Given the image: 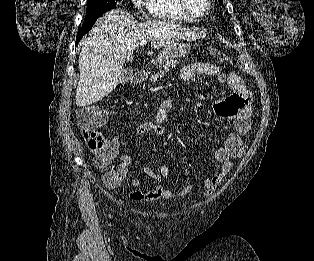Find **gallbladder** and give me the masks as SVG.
<instances>
[{"label":"gallbladder","mask_w":314,"mask_h":261,"mask_svg":"<svg viewBox=\"0 0 314 261\" xmlns=\"http://www.w3.org/2000/svg\"><path fill=\"white\" fill-rule=\"evenodd\" d=\"M133 75V71L130 68H126L122 71V76L120 82L122 84L127 83Z\"/></svg>","instance_id":"obj_1"}]
</instances>
